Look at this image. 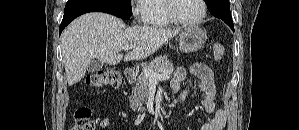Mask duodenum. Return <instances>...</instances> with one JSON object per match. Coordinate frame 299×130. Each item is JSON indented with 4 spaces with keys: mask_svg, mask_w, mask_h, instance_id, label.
<instances>
[{
    "mask_svg": "<svg viewBox=\"0 0 299 130\" xmlns=\"http://www.w3.org/2000/svg\"><path fill=\"white\" fill-rule=\"evenodd\" d=\"M124 73H125V77H126L127 81H129V82L134 81L136 74L132 68H127Z\"/></svg>",
    "mask_w": 299,
    "mask_h": 130,
    "instance_id": "410a0bca",
    "label": "duodenum"
}]
</instances>
